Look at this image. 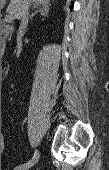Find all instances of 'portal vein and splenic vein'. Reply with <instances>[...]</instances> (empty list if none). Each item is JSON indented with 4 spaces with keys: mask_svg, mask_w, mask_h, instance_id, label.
Instances as JSON below:
<instances>
[{
    "mask_svg": "<svg viewBox=\"0 0 109 170\" xmlns=\"http://www.w3.org/2000/svg\"><path fill=\"white\" fill-rule=\"evenodd\" d=\"M14 20V15H13V13L12 12H7V15L5 16V21L6 22H11V21H13Z\"/></svg>",
    "mask_w": 109,
    "mask_h": 170,
    "instance_id": "portal-vein-and-splenic-vein-1",
    "label": "portal vein and splenic vein"
}]
</instances>
